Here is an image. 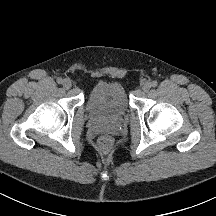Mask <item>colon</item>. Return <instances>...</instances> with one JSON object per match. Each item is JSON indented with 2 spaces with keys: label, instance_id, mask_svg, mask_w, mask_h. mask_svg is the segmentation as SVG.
Here are the masks:
<instances>
[{
  "label": "colon",
  "instance_id": "1",
  "mask_svg": "<svg viewBox=\"0 0 216 216\" xmlns=\"http://www.w3.org/2000/svg\"><path fill=\"white\" fill-rule=\"evenodd\" d=\"M113 138L109 135H102L98 139V148L102 153H109L113 148Z\"/></svg>",
  "mask_w": 216,
  "mask_h": 216
}]
</instances>
